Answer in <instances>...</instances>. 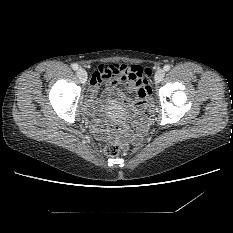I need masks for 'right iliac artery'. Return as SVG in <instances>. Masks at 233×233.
<instances>
[{"instance_id":"1","label":"right iliac artery","mask_w":233,"mask_h":233,"mask_svg":"<svg viewBox=\"0 0 233 233\" xmlns=\"http://www.w3.org/2000/svg\"><path fill=\"white\" fill-rule=\"evenodd\" d=\"M72 68H73V70H77L79 67L76 63H74V64H72Z\"/></svg>"}]
</instances>
